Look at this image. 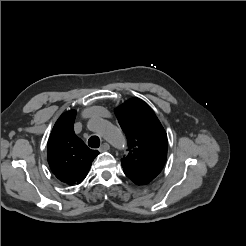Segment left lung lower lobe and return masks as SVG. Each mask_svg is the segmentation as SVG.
Here are the masks:
<instances>
[{"instance_id": "left-lung-lower-lobe-1", "label": "left lung lower lobe", "mask_w": 246, "mask_h": 246, "mask_svg": "<svg viewBox=\"0 0 246 246\" xmlns=\"http://www.w3.org/2000/svg\"><path fill=\"white\" fill-rule=\"evenodd\" d=\"M130 180H132L135 184L137 185H145L147 184V182H145L144 180L142 179H139V178H136L134 176H127Z\"/></svg>"}]
</instances>
